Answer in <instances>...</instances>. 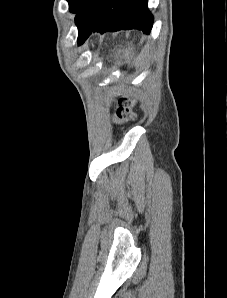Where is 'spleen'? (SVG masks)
<instances>
[{
  "mask_svg": "<svg viewBox=\"0 0 227 298\" xmlns=\"http://www.w3.org/2000/svg\"><path fill=\"white\" fill-rule=\"evenodd\" d=\"M132 50H133V48H128V49H126L125 51H121V50H119L118 53H117V55H116V58H118V57L120 56V53L122 52L123 55L120 56V58H125V59L128 60L129 57L132 58V55H131Z\"/></svg>",
  "mask_w": 227,
  "mask_h": 298,
  "instance_id": "1",
  "label": "spleen"
}]
</instances>
